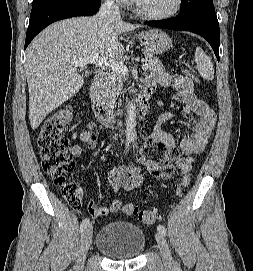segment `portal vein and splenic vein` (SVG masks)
<instances>
[{"label":"portal vein and splenic vein","instance_id":"obj_1","mask_svg":"<svg viewBox=\"0 0 253 271\" xmlns=\"http://www.w3.org/2000/svg\"><path fill=\"white\" fill-rule=\"evenodd\" d=\"M87 64H94L98 67H106L115 71L116 73L123 75H126L128 73V68L126 67V65H124V63L115 60L103 59L98 54L93 55V57L89 59H83L75 62V66L81 68L86 66ZM142 69L147 70L148 65L143 64Z\"/></svg>","mask_w":253,"mask_h":271}]
</instances>
